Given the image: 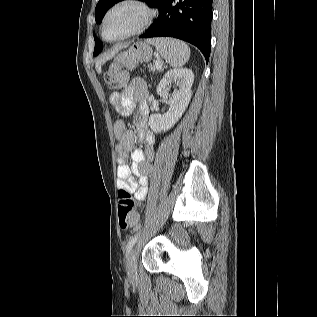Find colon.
Here are the masks:
<instances>
[{"label":"colon","mask_w":317,"mask_h":317,"mask_svg":"<svg viewBox=\"0 0 317 317\" xmlns=\"http://www.w3.org/2000/svg\"><path fill=\"white\" fill-rule=\"evenodd\" d=\"M127 61L124 57L116 58L109 66L105 81L111 89H121L128 81L126 71ZM118 219L119 225L123 229L134 228L138 224L139 216L134 207L133 200L128 191L121 189L118 200Z\"/></svg>","instance_id":"colon-1"}]
</instances>
